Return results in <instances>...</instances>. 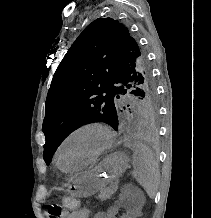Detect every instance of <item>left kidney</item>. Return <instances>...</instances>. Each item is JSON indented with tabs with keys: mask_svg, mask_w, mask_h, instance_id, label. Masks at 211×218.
Segmentation results:
<instances>
[{
	"mask_svg": "<svg viewBox=\"0 0 211 218\" xmlns=\"http://www.w3.org/2000/svg\"><path fill=\"white\" fill-rule=\"evenodd\" d=\"M107 218H140V215H137L136 207H131L130 198H119L114 207H108Z\"/></svg>",
	"mask_w": 211,
	"mask_h": 218,
	"instance_id": "left-kidney-1",
	"label": "left kidney"
}]
</instances>
